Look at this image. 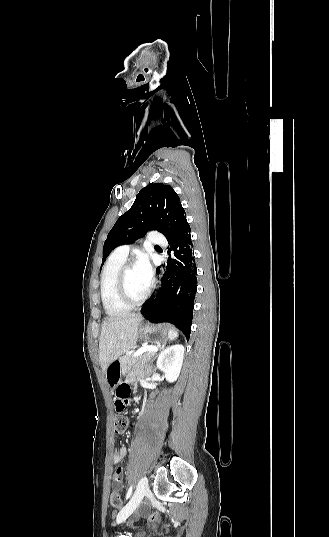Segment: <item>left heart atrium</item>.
Returning a JSON list of instances; mask_svg holds the SVG:
<instances>
[{"label":"left heart atrium","instance_id":"39dd6f15","mask_svg":"<svg viewBox=\"0 0 329 537\" xmlns=\"http://www.w3.org/2000/svg\"><path fill=\"white\" fill-rule=\"evenodd\" d=\"M134 268L142 282L149 287L152 279V267L148 257L144 253L137 256Z\"/></svg>","mask_w":329,"mask_h":537}]
</instances>
